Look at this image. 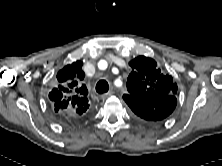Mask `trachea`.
<instances>
[{
	"label": "trachea",
	"mask_w": 222,
	"mask_h": 166,
	"mask_svg": "<svg viewBox=\"0 0 222 166\" xmlns=\"http://www.w3.org/2000/svg\"><path fill=\"white\" fill-rule=\"evenodd\" d=\"M108 90H109V85H108V82L106 80H100L96 84L97 93L103 94V93H106Z\"/></svg>",
	"instance_id": "obj_1"
}]
</instances>
